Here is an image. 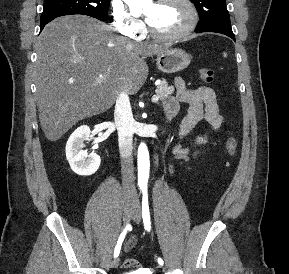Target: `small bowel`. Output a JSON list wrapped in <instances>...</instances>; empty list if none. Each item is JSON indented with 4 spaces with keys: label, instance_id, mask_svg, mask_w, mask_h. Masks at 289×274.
<instances>
[{
    "label": "small bowel",
    "instance_id": "small-bowel-1",
    "mask_svg": "<svg viewBox=\"0 0 289 274\" xmlns=\"http://www.w3.org/2000/svg\"><path fill=\"white\" fill-rule=\"evenodd\" d=\"M175 86L177 96L166 97L164 100L165 114H175L178 110V103L183 102L188 105L187 115L181 122L178 128V136L181 138L185 136L199 121L205 120L209 125V131L198 135L193 144L198 146L207 142L211 133L218 131L225 122V119L220 111L217 97L214 90L207 86H199L190 89L186 86L182 78L175 79ZM174 158L189 160L188 148L177 145L174 148ZM198 152L195 154V156ZM170 174H174V167L169 165ZM136 237L131 236L125 243L124 250H131L136 244Z\"/></svg>",
    "mask_w": 289,
    "mask_h": 274
}]
</instances>
